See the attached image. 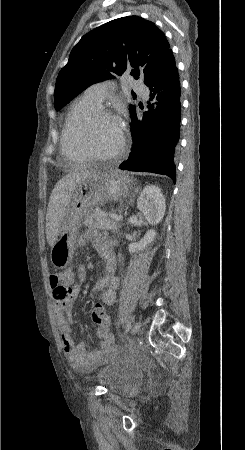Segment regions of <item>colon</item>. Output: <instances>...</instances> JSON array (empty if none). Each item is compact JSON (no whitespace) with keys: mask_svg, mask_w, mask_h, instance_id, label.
Masks as SVG:
<instances>
[{"mask_svg":"<svg viewBox=\"0 0 245 450\" xmlns=\"http://www.w3.org/2000/svg\"><path fill=\"white\" fill-rule=\"evenodd\" d=\"M90 317L98 326H110L107 310L102 304L97 303L92 307Z\"/></svg>","mask_w":245,"mask_h":450,"instance_id":"5ec220e1","label":"colon"}]
</instances>
